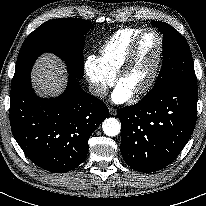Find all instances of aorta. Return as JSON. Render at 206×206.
<instances>
[{
    "label": "aorta",
    "instance_id": "762f6f07",
    "mask_svg": "<svg viewBox=\"0 0 206 206\" xmlns=\"http://www.w3.org/2000/svg\"><path fill=\"white\" fill-rule=\"evenodd\" d=\"M103 132L110 137H114L120 133L121 124L116 118H107L102 124Z\"/></svg>",
    "mask_w": 206,
    "mask_h": 206
}]
</instances>
